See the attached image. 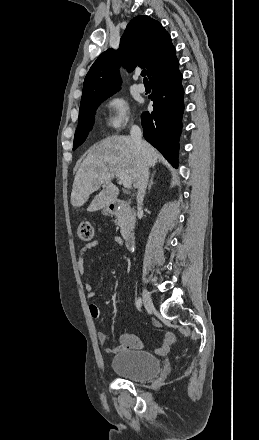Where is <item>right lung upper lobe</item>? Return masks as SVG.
<instances>
[{
    "mask_svg": "<svg viewBox=\"0 0 259 440\" xmlns=\"http://www.w3.org/2000/svg\"><path fill=\"white\" fill-rule=\"evenodd\" d=\"M174 55L170 35L161 23L146 15L136 16L126 27L118 52L108 49L91 66L84 80L81 105L110 96L120 89V64L128 71L137 65L146 68L150 78Z\"/></svg>",
    "mask_w": 259,
    "mask_h": 440,
    "instance_id": "1",
    "label": "right lung upper lobe"
}]
</instances>
